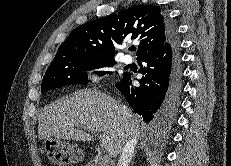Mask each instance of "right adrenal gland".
I'll list each match as a JSON object with an SVG mask.
<instances>
[{"instance_id":"2a0ac1e0","label":"right adrenal gland","mask_w":231,"mask_h":166,"mask_svg":"<svg viewBox=\"0 0 231 166\" xmlns=\"http://www.w3.org/2000/svg\"><path fill=\"white\" fill-rule=\"evenodd\" d=\"M134 161H132L131 165H133Z\"/></svg>"}]
</instances>
